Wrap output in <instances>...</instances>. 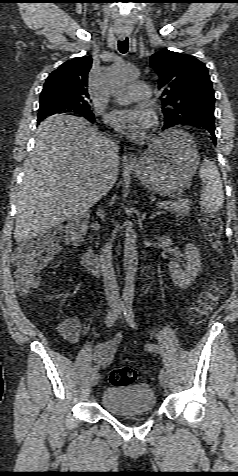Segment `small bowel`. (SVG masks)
Segmentation results:
<instances>
[{"mask_svg":"<svg viewBox=\"0 0 238 476\" xmlns=\"http://www.w3.org/2000/svg\"><path fill=\"white\" fill-rule=\"evenodd\" d=\"M60 335L70 343H76L81 337V325L77 318L68 317L59 324ZM122 340V335L117 334L111 340L105 343H99L95 346L92 357L95 366L105 367L111 361Z\"/></svg>","mask_w":238,"mask_h":476,"instance_id":"obj_1","label":"small bowel"}]
</instances>
